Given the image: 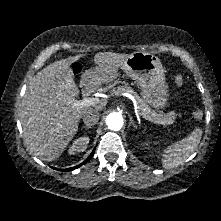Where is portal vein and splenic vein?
I'll use <instances>...</instances> for the list:
<instances>
[{"instance_id":"portal-vein-and-splenic-vein-1","label":"portal vein and splenic vein","mask_w":221,"mask_h":221,"mask_svg":"<svg viewBox=\"0 0 221 221\" xmlns=\"http://www.w3.org/2000/svg\"><path fill=\"white\" fill-rule=\"evenodd\" d=\"M99 99L97 98H83L82 100H74L71 99L68 101V103L73 107V108H83V107H88V106H93L95 104H98ZM136 113L141 115L144 119L153 122V123H158L154 119L144 115L142 112H140L137 108H135Z\"/></svg>"}]
</instances>
